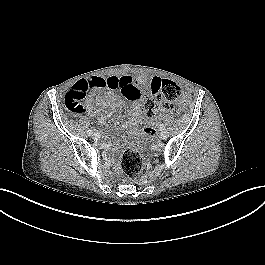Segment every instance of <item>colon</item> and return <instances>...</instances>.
<instances>
[{"mask_svg":"<svg viewBox=\"0 0 265 265\" xmlns=\"http://www.w3.org/2000/svg\"><path fill=\"white\" fill-rule=\"evenodd\" d=\"M99 82L79 81L74 84L67 92L65 97V105L67 109L73 113H81L84 105L81 103L85 100L89 90L96 88ZM152 94L160 93L168 106L171 103H180L186 106L188 101L181 95V88L177 83L170 79H155L152 82ZM145 119L150 121L156 114V102L152 98H147L143 104ZM142 143H137L129 147L122 154L121 167L125 175L134 180L138 178L143 168V158L141 154Z\"/></svg>","mask_w":265,"mask_h":265,"instance_id":"obj_1","label":"colon"}]
</instances>
